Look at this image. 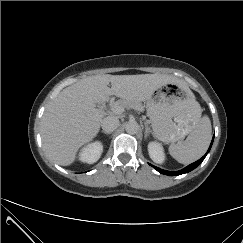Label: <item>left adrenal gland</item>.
<instances>
[{"label": "left adrenal gland", "mask_w": 243, "mask_h": 243, "mask_svg": "<svg viewBox=\"0 0 243 243\" xmlns=\"http://www.w3.org/2000/svg\"><path fill=\"white\" fill-rule=\"evenodd\" d=\"M151 130L147 124H145V139L149 136Z\"/></svg>", "instance_id": "a2214340"}]
</instances>
